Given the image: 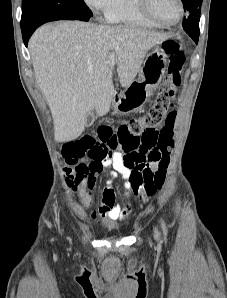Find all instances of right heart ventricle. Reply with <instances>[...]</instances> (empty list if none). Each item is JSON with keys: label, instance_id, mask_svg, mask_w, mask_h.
<instances>
[{"label": "right heart ventricle", "instance_id": "right-heart-ventricle-1", "mask_svg": "<svg viewBox=\"0 0 227 298\" xmlns=\"http://www.w3.org/2000/svg\"><path fill=\"white\" fill-rule=\"evenodd\" d=\"M105 17L110 23L124 26L158 27V25L143 16L138 6V0H115L111 8L105 13Z\"/></svg>", "mask_w": 227, "mask_h": 298}]
</instances>
